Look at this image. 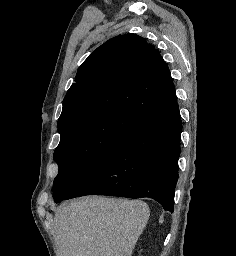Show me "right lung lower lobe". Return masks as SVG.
Segmentation results:
<instances>
[{"label":"right lung lower lobe","instance_id":"1","mask_svg":"<svg viewBox=\"0 0 236 256\" xmlns=\"http://www.w3.org/2000/svg\"><path fill=\"white\" fill-rule=\"evenodd\" d=\"M181 131L176 103L145 121L64 199L85 195L149 197L173 212Z\"/></svg>","mask_w":236,"mask_h":256}]
</instances>
